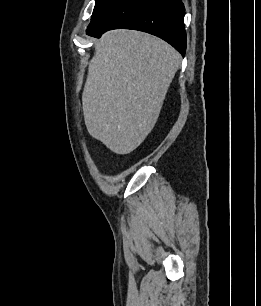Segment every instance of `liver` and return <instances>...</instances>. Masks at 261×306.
I'll use <instances>...</instances> for the list:
<instances>
[{
  "label": "liver",
  "mask_w": 261,
  "mask_h": 306,
  "mask_svg": "<svg viewBox=\"0 0 261 306\" xmlns=\"http://www.w3.org/2000/svg\"><path fill=\"white\" fill-rule=\"evenodd\" d=\"M180 63L160 38L124 29L105 33L82 94L89 134L116 154L135 150L153 129Z\"/></svg>",
  "instance_id": "liver-1"
}]
</instances>
